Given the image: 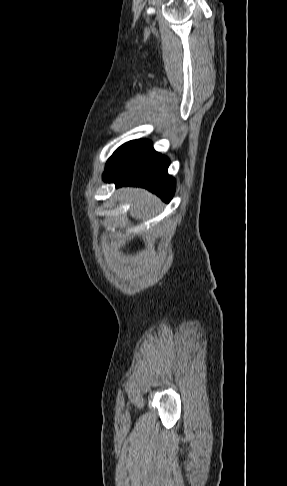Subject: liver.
Wrapping results in <instances>:
<instances>
[{"label":"liver","mask_w":287,"mask_h":486,"mask_svg":"<svg viewBox=\"0 0 287 486\" xmlns=\"http://www.w3.org/2000/svg\"><path fill=\"white\" fill-rule=\"evenodd\" d=\"M119 195L132 203L130 216L139 220L147 219L149 213L161 205V201L155 195L141 188H122Z\"/></svg>","instance_id":"1"}]
</instances>
